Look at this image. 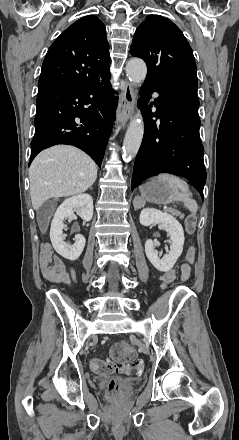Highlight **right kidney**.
<instances>
[{
  "label": "right kidney",
  "mask_w": 239,
  "mask_h": 440,
  "mask_svg": "<svg viewBox=\"0 0 239 440\" xmlns=\"http://www.w3.org/2000/svg\"><path fill=\"white\" fill-rule=\"evenodd\" d=\"M76 210H79V216L85 222L92 220L93 200L89 194H78V196L64 200L63 204L57 208L50 228V240L53 242L55 252L60 253L61 257H72V262L81 256L85 246V238L81 234H76L75 244H67L64 241L65 236H63L62 230L66 228L63 224L64 220L72 218Z\"/></svg>",
  "instance_id": "right-kidney-1"
}]
</instances>
